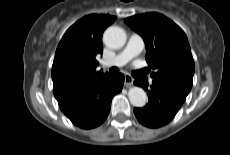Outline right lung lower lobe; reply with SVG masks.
<instances>
[{"mask_svg":"<svg viewBox=\"0 0 230 155\" xmlns=\"http://www.w3.org/2000/svg\"><path fill=\"white\" fill-rule=\"evenodd\" d=\"M123 83V74H109L87 89L59 99V107L76 126L83 129L97 127L107 118L112 98L121 92Z\"/></svg>","mask_w":230,"mask_h":155,"instance_id":"obj_1","label":"right lung lower lobe"}]
</instances>
